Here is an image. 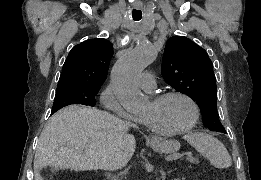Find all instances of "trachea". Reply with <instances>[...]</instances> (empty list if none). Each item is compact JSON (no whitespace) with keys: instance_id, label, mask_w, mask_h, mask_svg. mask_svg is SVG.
Here are the masks:
<instances>
[{"instance_id":"obj_1","label":"trachea","mask_w":261,"mask_h":180,"mask_svg":"<svg viewBox=\"0 0 261 180\" xmlns=\"http://www.w3.org/2000/svg\"><path fill=\"white\" fill-rule=\"evenodd\" d=\"M132 17H133V19H134L136 22H139V20H141V18H142V12H141V10H136V9H134V10L132 11Z\"/></svg>"}]
</instances>
